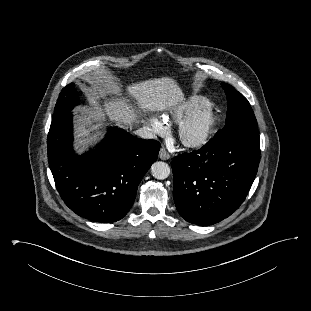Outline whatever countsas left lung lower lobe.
Wrapping results in <instances>:
<instances>
[{
    "label": "left lung lower lobe",
    "instance_id": "0a47b994",
    "mask_svg": "<svg viewBox=\"0 0 311 311\" xmlns=\"http://www.w3.org/2000/svg\"><path fill=\"white\" fill-rule=\"evenodd\" d=\"M260 160L258 133L233 131L212 138L172 163L173 197L179 214L200 226L235 212L255 179Z\"/></svg>",
    "mask_w": 311,
    "mask_h": 311
}]
</instances>
